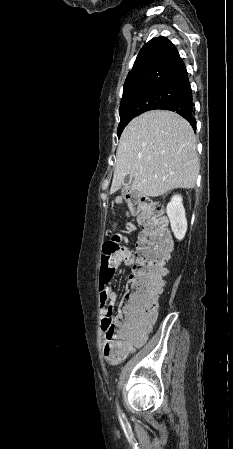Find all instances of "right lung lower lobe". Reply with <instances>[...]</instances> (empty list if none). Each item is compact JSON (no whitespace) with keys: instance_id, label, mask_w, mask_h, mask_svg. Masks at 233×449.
Instances as JSON below:
<instances>
[{"instance_id":"right-lung-lower-lobe-1","label":"right lung lower lobe","mask_w":233,"mask_h":449,"mask_svg":"<svg viewBox=\"0 0 233 449\" xmlns=\"http://www.w3.org/2000/svg\"><path fill=\"white\" fill-rule=\"evenodd\" d=\"M182 95L180 98L170 101L162 105L159 109L170 110L184 117L196 129V120L194 118L195 110L192 100V92L190 83L181 88Z\"/></svg>"}]
</instances>
